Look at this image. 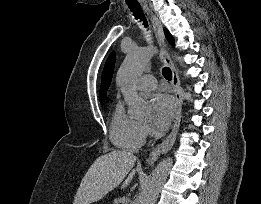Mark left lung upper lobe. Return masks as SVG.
Returning <instances> with one entry per match:
<instances>
[{
	"mask_svg": "<svg viewBox=\"0 0 261 204\" xmlns=\"http://www.w3.org/2000/svg\"><path fill=\"white\" fill-rule=\"evenodd\" d=\"M164 32H165V36H166L168 42L170 44L174 45L175 44L174 39H173L172 35L169 33V31L167 29H164Z\"/></svg>",
	"mask_w": 261,
	"mask_h": 204,
	"instance_id": "left-lung-upper-lobe-1",
	"label": "left lung upper lobe"
}]
</instances>
